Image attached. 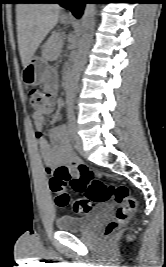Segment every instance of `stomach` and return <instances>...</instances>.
I'll list each match as a JSON object with an SVG mask.
<instances>
[{"label":"stomach","mask_w":166,"mask_h":267,"mask_svg":"<svg viewBox=\"0 0 166 267\" xmlns=\"http://www.w3.org/2000/svg\"><path fill=\"white\" fill-rule=\"evenodd\" d=\"M61 21L64 23L68 22L66 19H61ZM48 68V64L44 59L40 57H32L22 71V79L24 83L28 86H36L45 83Z\"/></svg>","instance_id":"obj_1"}]
</instances>
